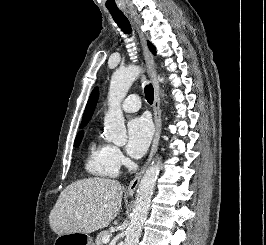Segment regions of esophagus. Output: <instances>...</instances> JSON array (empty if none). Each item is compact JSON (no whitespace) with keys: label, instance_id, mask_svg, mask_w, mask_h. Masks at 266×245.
Listing matches in <instances>:
<instances>
[{"label":"esophagus","instance_id":"1","mask_svg":"<svg viewBox=\"0 0 266 245\" xmlns=\"http://www.w3.org/2000/svg\"><path fill=\"white\" fill-rule=\"evenodd\" d=\"M138 33H139L141 45L143 48L144 58H145L147 66H148L150 80H151V82L153 84V88H154L153 114H154V123H155V136H154L152 146L150 149V153H149V156H148L146 163L144 164V166L142 167L140 172L136 174L135 178L130 182L128 187L126 188V193L128 195H132L135 193V190L138 187V184L140 182V179H141L143 173L145 172L146 168L148 167L149 163L151 162V160H152V158H153V156L157 150L158 144H159V139H160V135H161V128H162L160 96H159L160 95V89H159V83L157 80V74H156V70H155V66H154V59H153L152 54L150 53V51L148 50V48L146 46L143 33L140 31H138Z\"/></svg>","mask_w":266,"mask_h":245}]
</instances>
